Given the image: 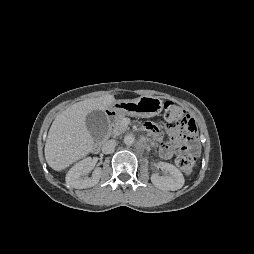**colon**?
<instances>
[{
	"instance_id": "5ec220e1",
	"label": "colon",
	"mask_w": 254,
	"mask_h": 254,
	"mask_svg": "<svg viewBox=\"0 0 254 254\" xmlns=\"http://www.w3.org/2000/svg\"><path fill=\"white\" fill-rule=\"evenodd\" d=\"M164 115L169 128L184 131L182 137L189 144L184 146L186 154L177 158L178 167L187 175H190L196 168L195 154L197 152V125L190 114L174 102H166L164 105Z\"/></svg>"
}]
</instances>
